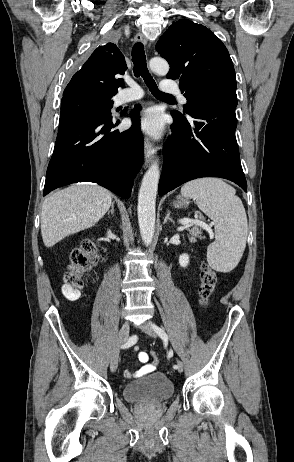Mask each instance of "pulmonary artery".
<instances>
[{"mask_svg": "<svg viewBox=\"0 0 294 462\" xmlns=\"http://www.w3.org/2000/svg\"><path fill=\"white\" fill-rule=\"evenodd\" d=\"M161 90L167 94H177L181 104H186L187 99L180 92L176 84L164 83L161 85ZM144 93L137 83L132 80L128 81V88L123 89L117 99L119 103H127L135 100H139L143 97Z\"/></svg>", "mask_w": 294, "mask_h": 462, "instance_id": "obj_1", "label": "pulmonary artery"}]
</instances>
